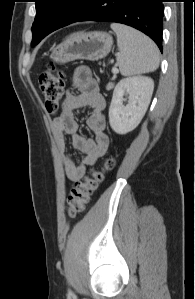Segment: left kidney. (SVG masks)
<instances>
[{
    "instance_id": "obj_1",
    "label": "left kidney",
    "mask_w": 195,
    "mask_h": 299,
    "mask_svg": "<svg viewBox=\"0 0 195 299\" xmlns=\"http://www.w3.org/2000/svg\"><path fill=\"white\" fill-rule=\"evenodd\" d=\"M153 89V80L146 76L119 81L109 107V123L114 132L124 135L139 125L149 106ZM124 95H128L127 105H123Z\"/></svg>"
}]
</instances>
